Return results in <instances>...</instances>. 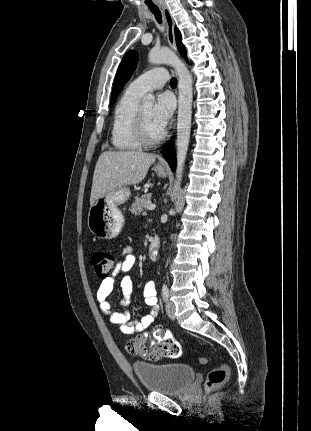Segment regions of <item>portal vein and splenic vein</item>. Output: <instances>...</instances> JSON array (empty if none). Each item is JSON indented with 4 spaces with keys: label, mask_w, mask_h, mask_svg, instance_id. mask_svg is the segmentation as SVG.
I'll return each mask as SVG.
<instances>
[{
    "label": "portal vein and splenic vein",
    "mask_w": 311,
    "mask_h": 431,
    "mask_svg": "<svg viewBox=\"0 0 311 431\" xmlns=\"http://www.w3.org/2000/svg\"><path fill=\"white\" fill-rule=\"evenodd\" d=\"M155 208V204H149V206H147V210H155Z\"/></svg>",
    "instance_id": "portal-vein-and-splenic-vein-1"
}]
</instances>
